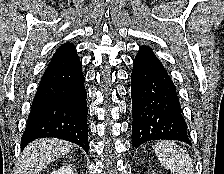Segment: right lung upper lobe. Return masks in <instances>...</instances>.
<instances>
[{
    "instance_id": "1",
    "label": "right lung upper lobe",
    "mask_w": 224,
    "mask_h": 174,
    "mask_svg": "<svg viewBox=\"0 0 224 174\" xmlns=\"http://www.w3.org/2000/svg\"><path fill=\"white\" fill-rule=\"evenodd\" d=\"M75 51V47L73 44L71 43H66L64 45H61L55 52V54L53 55V59L58 58V57H62L68 54H71Z\"/></svg>"
}]
</instances>
